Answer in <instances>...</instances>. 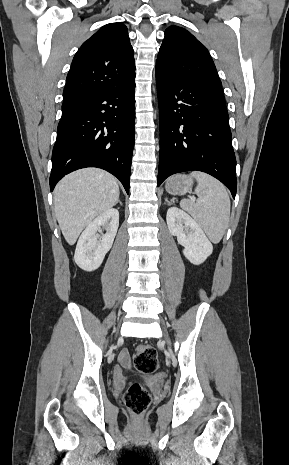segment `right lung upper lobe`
Returning a JSON list of instances; mask_svg holds the SVG:
<instances>
[{
    "instance_id": "cb5924a9",
    "label": "right lung upper lobe",
    "mask_w": 289,
    "mask_h": 465,
    "mask_svg": "<svg viewBox=\"0 0 289 465\" xmlns=\"http://www.w3.org/2000/svg\"><path fill=\"white\" fill-rule=\"evenodd\" d=\"M133 76L135 62L127 27L118 22L107 24L75 54L63 91V105L77 104L120 87Z\"/></svg>"
}]
</instances>
